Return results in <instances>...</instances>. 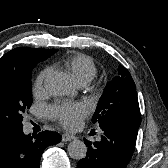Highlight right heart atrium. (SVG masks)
<instances>
[{
	"instance_id": "1",
	"label": "right heart atrium",
	"mask_w": 168,
	"mask_h": 168,
	"mask_svg": "<svg viewBox=\"0 0 168 168\" xmlns=\"http://www.w3.org/2000/svg\"><path fill=\"white\" fill-rule=\"evenodd\" d=\"M50 73V69L49 68H45L44 70H42L37 78H36V81L34 83V87H33V91L35 94H40L43 92L44 90V83H45V80L46 78L48 77Z\"/></svg>"
}]
</instances>
